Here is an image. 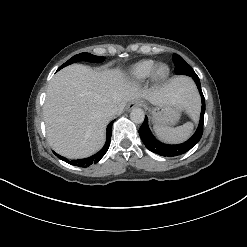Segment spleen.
<instances>
[{"instance_id": "spleen-1", "label": "spleen", "mask_w": 247, "mask_h": 247, "mask_svg": "<svg viewBox=\"0 0 247 247\" xmlns=\"http://www.w3.org/2000/svg\"><path fill=\"white\" fill-rule=\"evenodd\" d=\"M194 125L191 122H187L178 127H167L154 125L153 129L160 140L166 143L176 144L187 140L192 132Z\"/></svg>"}]
</instances>
